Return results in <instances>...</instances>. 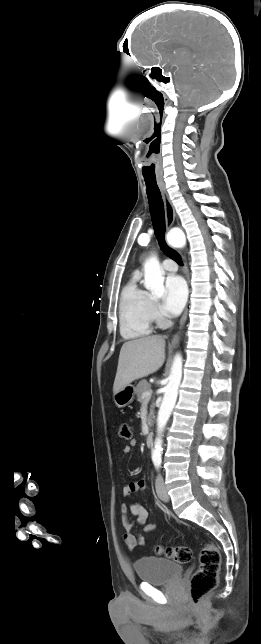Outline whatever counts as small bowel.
Returning a JSON list of instances; mask_svg holds the SVG:
<instances>
[{
  "instance_id": "c3829d8e",
  "label": "small bowel",
  "mask_w": 261,
  "mask_h": 644,
  "mask_svg": "<svg viewBox=\"0 0 261 644\" xmlns=\"http://www.w3.org/2000/svg\"><path fill=\"white\" fill-rule=\"evenodd\" d=\"M135 445V441H132L130 445L124 447V454H129L132 450V447ZM146 481L144 479H139L131 481L123 487L122 493L123 496L127 497L134 493L145 490ZM123 514V528L125 530L124 540L127 546L130 549H135L137 546H142L145 544V537L140 534H133L135 523L129 520L128 514L132 515L136 523L143 527V530L147 533L153 532L156 530L157 526L153 523L148 522V511L140 504H132L130 507L126 505H121L120 508Z\"/></svg>"
}]
</instances>
